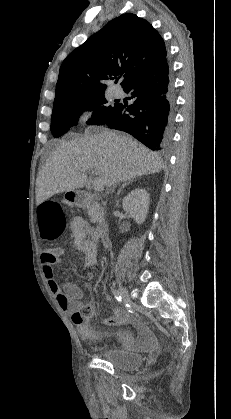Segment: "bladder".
Returning <instances> with one entry per match:
<instances>
[{"label": "bladder", "instance_id": "bladder-1", "mask_svg": "<svg viewBox=\"0 0 231 419\" xmlns=\"http://www.w3.org/2000/svg\"><path fill=\"white\" fill-rule=\"evenodd\" d=\"M99 357L120 370L139 368L144 362V356L130 353L116 347H104L99 351Z\"/></svg>", "mask_w": 231, "mask_h": 419}]
</instances>
